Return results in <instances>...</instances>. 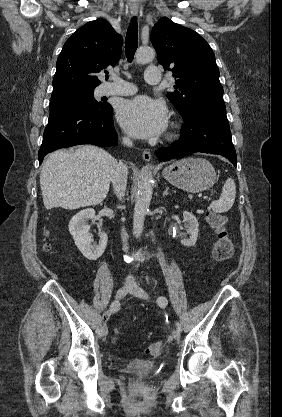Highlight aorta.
Instances as JSON below:
<instances>
[{
    "label": "aorta",
    "instance_id": "762f6f07",
    "mask_svg": "<svg viewBox=\"0 0 282 417\" xmlns=\"http://www.w3.org/2000/svg\"><path fill=\"white\" fill-rule=\"evenodd\" d=\"M155 50L154 48H150V46H145V48H137L136 50V62L138 64H143V62H148V60H152L155 58ZM152 190H153V176L152 172H145L140 186L138 188V192L135 198V206H134V215H133V233L137 239H140L141 233L144 227L145 217L149 211V206L152 198Z\"/></svg>",
    "mask_w": 282,
    "mask_h": 417
}]
</instances>
